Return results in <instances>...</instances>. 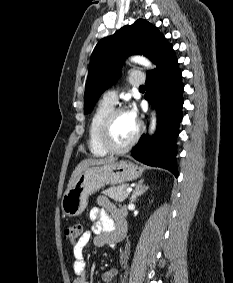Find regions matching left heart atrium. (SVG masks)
Returning <instances> with one entry per match:
<instances>
[{
	"label": "left heart atrium",
	"mask_w": 233,
	"mask_h": 283,
	"mask_svg": "<svg viewBox=\"0 0 233 283\" xmlns=\"http://www.w3.org/2000/svg\"><path fill=\"white\" fill-rule=\"evenodd\" d=\"M127 113L129 114V116L131 117V119L137 123L138 120V116H137V110L134 106H132Z\"/></svg>",
	"instance_id": "39dd6f15"
}]
</instances>
